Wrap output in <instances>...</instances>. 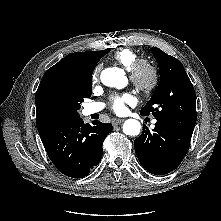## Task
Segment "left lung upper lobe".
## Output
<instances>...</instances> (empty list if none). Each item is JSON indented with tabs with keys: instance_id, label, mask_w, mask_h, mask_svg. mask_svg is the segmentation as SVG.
Segmentation results:
<instances>
[{
	"instance_id": "obj_1",
	"label": "left lung upper lobe",
	"mask_w": 221,
	"mask_h": 221,
	"mask_svg": "<svg viewBox=\"0 0 221 221\" xmlns=\"http://www.w3.org/2000/svg\"><path fill=\"white\" fill-rule=\"evenodd\" d=\"M160 69V82L150 101L141 109L167 127L193 131L196 123L195 90L181 62L152 47Z\"/></svg>"
}]
</instances>
